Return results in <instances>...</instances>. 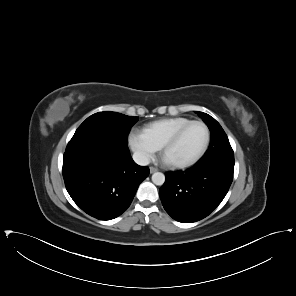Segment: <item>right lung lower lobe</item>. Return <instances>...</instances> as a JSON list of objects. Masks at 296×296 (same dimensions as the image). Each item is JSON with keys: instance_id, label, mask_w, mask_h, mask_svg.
<instances>
[{"instance_id": "1", "label": "right lung lower lobe", "mask_w": 296, "mask_h": 296, "mask_svg": "<svg viewBox=\"0 0 296 296\" xmlns=\"http://www.w3.org/2000/svg\"><path fill=\"white\" fill-rule=\"evenodd\" d=\"M62 172L74 202L90 216L110 220L130 206L149 168L137 165L125 144L84 137L68 143Z\"/></svg>"}]
</instances>
